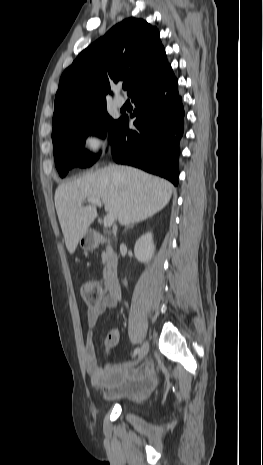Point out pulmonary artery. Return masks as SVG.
<instances>
[{
    "label": "pulmonary artery",
    "mask_w": 263,
    "mask_h": 465,
    "mask_svg": "<svg viewBox=\"0 0 263 465\" xmlns=\"http://www.w3.org/2000/svg\"><path fill=\"white\" fill-rule=\"evenodd\" d=\"M114 104L117 107H122L125 104V99L122 96L117 95L114 98Z\"/></svg>",
    "instance_id": "pulmonary-artery-1"
}]
</instances>
